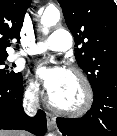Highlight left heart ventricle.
I'll use <instances>...</instances> for the list:
<instances>
[{
	"mask_svg": "<svg viewBox=\"0 0 117 136\" xmlns=\"http://www.w3.org/2000/svg\"><path fill=\"white\" fill-rule=\"evenodd\" d=\"M53 101L63 107H73L82 100V91L76 77L68 73L64 86L51 95Z\"/></svg>",
	"mask_w": 117,
	"mask_h": 136,
	"instance_id": "obj_1",
	"label": "left heart ventricle"
}]
</instances>
